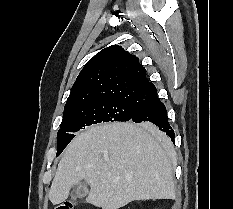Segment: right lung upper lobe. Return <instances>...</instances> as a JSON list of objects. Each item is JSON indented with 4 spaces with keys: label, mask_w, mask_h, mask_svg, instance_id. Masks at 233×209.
Returning <instances> with one entry per match:
<instances>
[{
    "label": "right lung upper lobe",
    "mask_w": 233,
    "mask_h": 209,
    "mask_svg": "<svg viewBox=\"0 0 233 209\" xmlns=\"http://www.w3.org/2000/svg\"><path fill=\"white\" fill-rule=\"evenodd\" d=\"M157 97L139 59L118 45L104 48L91 58L71 88L64 112L103 100L144 105Z\"/></svg>",
    "instance_id": "1"
}]
</instances>
